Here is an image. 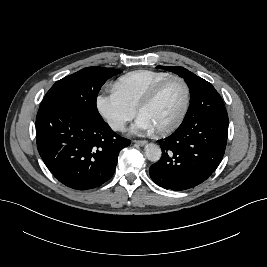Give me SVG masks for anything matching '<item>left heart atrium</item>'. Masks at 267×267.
<instances>
[{
    "instance_id": "obj_1",
    "label": "left heart atrium",
    "mask_w": 267,
    "mask_h": 267,
    "mask_svg": "<svg viewBox=\"0 0 267 267\" xmlns=\"http://www.w3.org/2000/svg\"><path fill=\"white\" fill-rule=\"evenodd\" d=\"M153 130H154V128H153L152 124L143 115L138 116L135 124L132 127V132L138 133V134L151 132Z\"/></svg>"
}]
</instances>
